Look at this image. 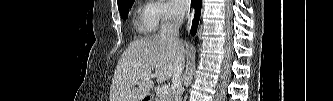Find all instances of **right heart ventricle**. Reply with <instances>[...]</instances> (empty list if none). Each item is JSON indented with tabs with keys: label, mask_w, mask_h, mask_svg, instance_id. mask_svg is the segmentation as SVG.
I'll return each mask as SVG.
<instances>
[{
	"label": "right heart ventricle",
	"mask_w": 333,
	"mask_h": 101,
	"mask_svg": "<svg viewBox=\"0 0 333 101\" xmlns=\"http://www.w3.org/2000/svg\"><path fill=\"white\" fill-rule=\"evenodd\" d=\"M136 30L142 34H149L155 30V22L150 13V6L142 7L136 17Z\"/></svg>",
	"instance_id": "right-heart-ventricle-1"
}]
</instances>
